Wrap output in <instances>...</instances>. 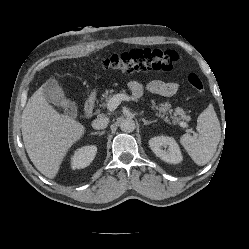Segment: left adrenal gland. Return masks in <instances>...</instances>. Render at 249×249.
<instances>
[{
	"mask_svg": "<svg viewBox=\"0 0 249 249\" xmlns=\"http://www.w3.org/2000/svg\"><path fill=\"white\" fill-rule=\"evenodd\" d=\"M142 121L144 122V125H149V124L156 122L157 120L148 121V120L142 118Z\"/></svg>",
	"mask_w": 249,
	"mask_h": 249,
	"instance_id": "1",
	"label": "left adrenal gland"
}]
</instances>
